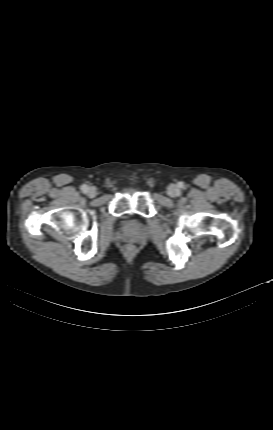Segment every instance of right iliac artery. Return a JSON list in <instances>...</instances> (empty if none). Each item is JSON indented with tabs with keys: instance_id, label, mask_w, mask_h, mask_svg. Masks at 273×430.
<instances>
[{
	"instance_id": "obj_1",
	"label": "right iliac artery",
	"mask_w": 273,
	"mask_h": 430,
	"mask_svg": "<svg viewBox=\"0 0 273 430\" xmlns=\"http://www.w3.org/2000/svg\"><path fill=\"white\" fill-rule=\"evenodd\" d=\"M81 190H82V192L87 193V191H88V186H87V185H82V186H81Z\"/></svg>"
}]
</instances>
